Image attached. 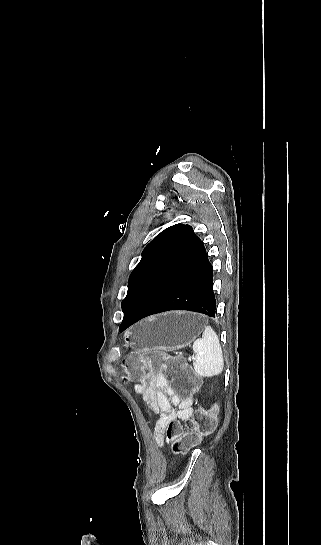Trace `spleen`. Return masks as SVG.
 <instances>
[{"mask_svg": "<svg viewBox=\"0 0 321 545\" xmlns=\"http://www.w3.org/2000/svg\"><path fill=\"white\" fill-rule=\"evenodd\" d=\"M192 351L196 353L194 371L198 377H215L224 369L223 351L218 335L212 327H205L202 339H196Z\"/></svg>", "mask_w": 321, "mask_h": 545, "instance_id": "spleen-1", "label": "spleen"}]
</instances>
